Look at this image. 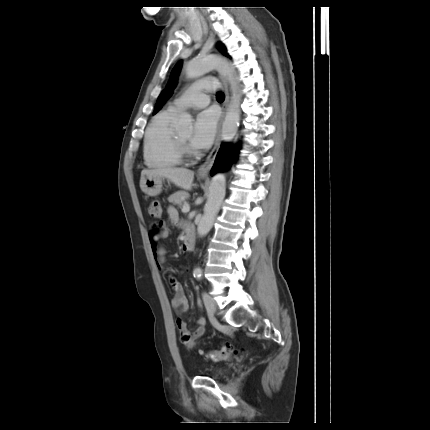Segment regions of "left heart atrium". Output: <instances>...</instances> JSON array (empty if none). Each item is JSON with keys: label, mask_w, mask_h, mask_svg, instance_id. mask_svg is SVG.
Returning a JSON list of instances; mask_svg holds the SVG:
<instances>
[{"label": "left heart atrium", "mask_w": 430, "mask_h": 430, "mask_svg": "<svg viewBox=\"0 0 430 430\" xmlns=\"http://www.w3.org/2000/svg\"><path fill=\"white\" fill-rule=\"evenodd\" d=\"M218 115L215 110L201 112L195 122L191 145L196 149L208 148L214 139Z\"/></svg>", "instance_id": "39dd6f15"}]
</instances>
